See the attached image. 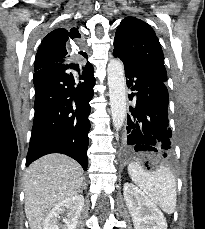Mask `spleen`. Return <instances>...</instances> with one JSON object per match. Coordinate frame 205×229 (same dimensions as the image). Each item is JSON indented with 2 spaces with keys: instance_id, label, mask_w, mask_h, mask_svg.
I'll return each instance as SVG.
<instances>
[{
  "instance_id": "obj_1",
  "label": "spleen",
  "mask_w": 205,
  "mask_h": 229,
  "mask_svg": "<svg viewBox=\"0 0 205 229\" xmlns=\"http://www.w3.org/2000/svg\"><path fill=\"white\" fill-rule=\"evenodd\" d=\"M128 173L151 201L168 214L174 212L177 203L176 179L168 168L147 172L139 163L133 162L128 166Z\"/></svg>"
}]
</instances>
